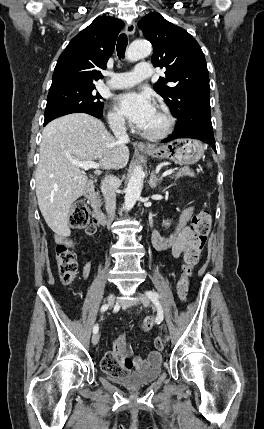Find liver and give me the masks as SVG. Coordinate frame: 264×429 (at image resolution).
<instances>
[{"label": "liver", "mask_w": 264, "mask_h": 429, "mask_svg": "<svg viewBox=\"0 0 264 429\" xmlns=\"http://www.w3.org/2000/svg\"><path fill=\"white\" fill-rule=\"evenodd\" d=\"M99 160L105 169L124 168L129 149L97 118L73 113L51 121L43 130L36 169V196L47 225L58 236H69L68 214L85 190L88 178L72 161Z\"/></svg>", "instance_id": "liver-1"}]
</instances>
